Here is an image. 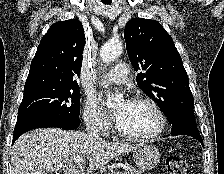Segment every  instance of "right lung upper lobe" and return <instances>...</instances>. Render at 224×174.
Instances as JSON below:
<instances>
[{
  "instance_id": "cb5924a9",
  "label": "right lung upper lobe",
  "mask_w": 224,
  "mask_h": 174,
  "mask_svg": "<svg viewBox=\"0 0 224 174\" xmlns=\"http://www.w3.org/2000/svg\"><path fill=\"white\" fill-rule=\"evenodd\" d=\"M85 34L77 19L54 23L41 40L31 62L24 94L45 89L79 88Z\"/></svg>"
}]
</instances>
